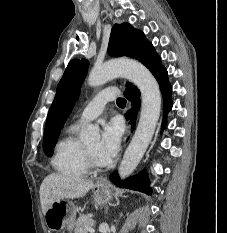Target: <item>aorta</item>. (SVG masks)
<instances>
[{
  "mask_svg": "<svg viewBox=\"0 0 227 233\" xmlns=\"http://www.w3.org/2000/svg\"><path fill=\"white\" fill-rule=\"evenodd\" d=\"M132 81L141 92V111L135 134L127 147L119 167V176L124 179L132 174L145 154L155 132L161 110L159 85L150 71L141 63L132 60H116L92 69L88 84L96 87L116 77ZM99 130L88 125L81 133L85 144L99 141Z\"/></svg>",
  "mask_w": 227,
  "mask_h": 233,
  "instance_id": "762f6f07",
  "label": "aorta"
}]
</instances>
